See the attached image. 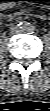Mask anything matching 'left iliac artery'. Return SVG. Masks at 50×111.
I'll use <instances>...</instances> for the list:
<instances>
[{"instance_id": "left-iliac-artery-1", "label": "left iliac artery", "mask_w": 50, "mask_h": 111, "mask_svg": "<svg viewBox=\"0 0 50 111\" xmlns=\"http://www.w3.org/2000/svg\"><path fill=\"white\" fill-rule=\"evenodd\" d=\"M29 29H30V31H34L35 28H34V26H30Z\"/></svg>"}]
</instances>
